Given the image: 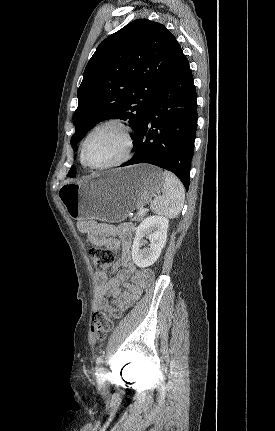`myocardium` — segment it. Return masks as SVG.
I'll list each match as a JSON object with an SVG mask.
<instances>
[{
  "label": "myocardium",
  "mask_w": 275,
  "mask_h": 431,
  "mask_svg": "<svg viewBox=\"0 0 275 431\" xmlns=\"http://www.w3.org/2000/svg\"><path fill=\"white\" fill-rule=\"evenodd\" d=\"M109 126H114L117 127L118 129H120L124 135L125 138V150L123 155L112 162L106 163V164H101V165H93L90 164L87 159H86V145L88 140L90 139V137L98 130L104 128V127H109ZM133 148H134V139H133V135H132V131L131 128L128 124H126L123 120L118 119V118H111V119H107L105 121L100 122L99 124L95 125L85 136L82 144H81V161L84 165H86L87 167L91 168V169H96V170H102V169H109V168H113V167H117L120 165H123L124 163H126L127 161L130 160V158L132 157V152H133Z\"/></svg>",
  "instance_id": "obj_1"
}]
</instances>
